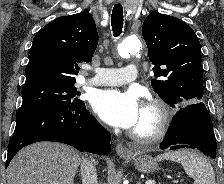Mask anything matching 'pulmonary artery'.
<instances>
[{"instance_id": "1", "label": "pulmonary artery", "mask_w": 224, "mask_h": 184, "mask_svg": "<svg viewBox=\"0 0 224 184\" xmlns=\"http://www.w3.org/2000/svg\"><path fill=\"white\" fill-rule=\"evenodd\" d=\"M136 65L129 64L125 68H102L96 70V75L87 79V84L92 86H110L126 84L137 79Z\"/></svg>"}]
</instances>
